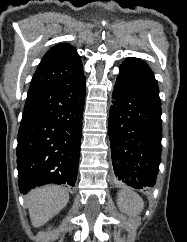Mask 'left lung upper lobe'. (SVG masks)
I'll use <instances>...</instances> for the list:
<instances>
[{"label": "left lung upper lobe", "mask_w": 187, "mask_h": 242, "mask_svg": "<svg viewBox=\"0 0 187 242\" xmlns=\"http://www.w3.org/2000/svg\"><path fill=\"white\" fill-rule=\"evenodd\" d=\"M120 74L133 79L151 89L159 91L151 68L139 58H127L119 67Z\"/></svg>", "instance_id": "obj_1"}]
</instances>
